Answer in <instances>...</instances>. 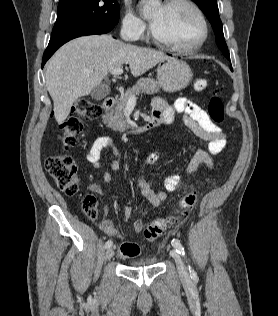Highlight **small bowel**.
<instances>
[{
  "mask_svg": "<svg viewBox=\"0 0 278 316\" xmlns=\"http://www.w3.org/2000/svg\"><path fill=\"white\" fill-rule=\"evenodd\" d=\"M154 115L159 119V123L171 124L175 112L182 114L185 126L199 139L205 141L208 145L207 150H198L191 157L187 171L189 174L196 173L201 166L211 167L213 165L212 156L219 154L227 144L228 135L218 125H216L207 112L192 100L181 97L176 100L173 106L168 105L162 98L156 97L152 101ZM107 149H112L115 156H118V150L114 146L113 140L108 135L97 137L91 144L87 154V161L94 167L100 168L102 165V156ZM164 150H156L150 153L145 159V165L151 166L157 163L161 158L167 156ZM110 170L114 173L119 172L120 164L114 160L110 164ZM104 181L111 183L114 177L110 172L104 174ZM180 185V175L172 173L164 180V190L155 191L151 183L145 179L138 181L143 200L150 205L157 207L168 197V193L174 192ZM108 209L105 211L103 219L100 221L102 231L112 237H120V231L114 226L108 216ZM132 214V208L128 205L124 207V220L128 222ZM143 229V221L135 220L131 225L134 233H140Z\"/></svg>",
  "mask_w": 278,
  "mask_h": 316,
  "instance_id": "obj_1",
  "label": "small bowel"
}]
</instances>
